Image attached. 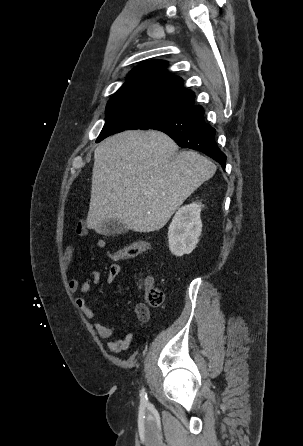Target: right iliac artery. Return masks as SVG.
Instances as JSON below:
<instances>
[{
	"instance_id": "82829eb1",
	"label": "right iliac artery",
	"mask_w": 303,
	"mask_h": 446,
	"mask_svg": "<svg viewBox=\"0 0 303 446\" xmlns=\"http://www.w3.org/2000/svg\"><path fill=\"white\" fill-rule=\"evenodd\" d=\"M140 396H141V403L142 404H147L148 403V398H147V395H146L144 389L141 390Z\"/></svg>"
}]
</instances>
